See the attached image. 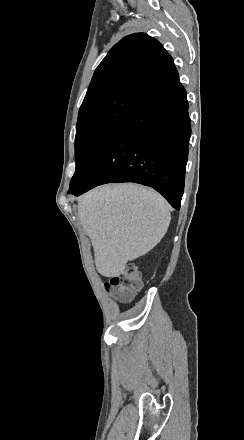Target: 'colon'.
I'll list each match as a JSON object with an SVG mask.
<instances>
[{
  "instance_id": "colon-1",
  "label": "colon",
  "mask_w": 244,
  "mask_h": 440,
  "mask_svg": "<svg viewBox=\"0 0 244 440\" xmlns=\"http://www.w3.org/2000/svg\"><path fill=\"white\" fill-rule=\"evenodd\" d=\"M142 276L134 264H127L125 269L118 274L112 275L104 282L107 291H112L119 300L127 301L140 288Z\"/></svg>"
}]
</instances>
